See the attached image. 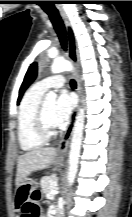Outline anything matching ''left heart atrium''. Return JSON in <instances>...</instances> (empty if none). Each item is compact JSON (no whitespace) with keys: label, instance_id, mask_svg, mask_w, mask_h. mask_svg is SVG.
Masks as SVG:
<instances>
[{"label":"left heart atrium","instance_id":"39dd6f15","mask_svg":"<svg viewBox=\"0 0 132 217\" xmlns=\"http://www.w3.org/2000/svg\"><path fill=\"white\" fill-rule=\"evenodd\" d=\"M74 107V97L66 91L62 92L55 102V107L53 110L52 121L54 126L65 124L70 118Z\"/></svg>","mask_w":132,"mask_h":217}]
</instances>
